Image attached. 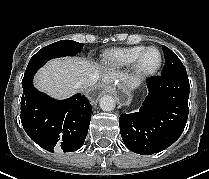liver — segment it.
Instances as JSON below:
<instances>
[{
	"instance_id": "obj_1",
	"label": "liver",
	"mask_w": 209,
	"mask_h": 179,
	"mask_svg": "<svg viewBox=\"0 0 209 179\" xmlns=\"http://www.w3.org/2000/svg\"><path fill=\"white\" fill-rule=\"evenodd\" d=\"M91 74L98 76L102 84L109 85L115 80L126 86L133 84V80L113 70L101 74L99 67L92 62L79 57L53 59L41 68L34 80L35 86L58 99L70 96L78 87L77 82Z\"/></svg>"
}]
</instances>
